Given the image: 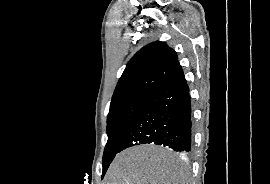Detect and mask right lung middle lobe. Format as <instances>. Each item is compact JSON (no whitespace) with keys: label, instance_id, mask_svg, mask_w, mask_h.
Segmentation results:
<instances>
[{"label":"right lung middle lobe","instance_id":"obj_1","mask_svg":"<svg viewBox=\"0 0 270 184\" xmlns=\"http://www.w3.org/2000/svg\"><path fill=\"white\" fill-rule=\"evenodd\" d=\"M148 98L149 96L146 95H134L111 102L110 111L107 116L108 141L103 154L102 177L115 155L119 153L123 139Z\"/></svg>","mask_w":270,"mask_h":184}]
</instances>
